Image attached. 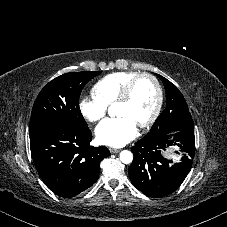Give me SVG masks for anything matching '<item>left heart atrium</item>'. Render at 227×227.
Masks as SVG:
<instances>
[{
	"label": "left heart atrium",
	"mask_w": 227,
	"mask_h": 227,
	"mask_svg": "<svg viewBox=\"0 0 227 227\" xmlns=\"http://www.w3.org/2000/svg\"><path fill=\"white\" fill-rule=\"evenodd\" d=\"M136 133V124L126 116L107 118L95 129L98 142L111 147L127 144L136 136Z\"/></svg>",
	"instance_id": "left-heart-atrium-1"
}]
</instances>
